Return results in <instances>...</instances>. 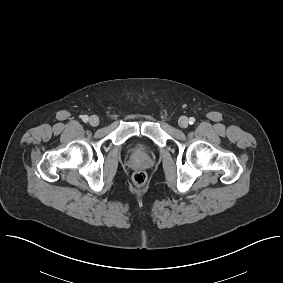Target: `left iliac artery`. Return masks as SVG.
Listing matches in <instances>:
<instances>
[{
  "label": "left iliac artery",
  "instance_id": "left-iliac-artery-1",
  "mask_svg": "<svg viewBox=\"0 0 283 283\" xmlns=\"http://www.w3.org/2000/svg\"><path fill=\"white\" fill-rule=\"evenodd\" d=\"M195 123V118L194 117H190L189 118V124H194Z\"/></svg>",
  "mask_w": 283,
  "mask_h": 283
}]
</instances>
